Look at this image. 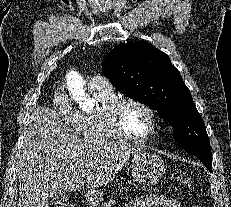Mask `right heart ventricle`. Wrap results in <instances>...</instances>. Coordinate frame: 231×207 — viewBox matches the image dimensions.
<instances>
[{"label":"right heart ventricle","mask_w":231,"mask_h":207,"mask_svg":"<svg viewBox=\"0 0 231 207\" xmlns=\"http://www.w3.org/2000/svg\"><path fill=\"white\" fill-rule=\"evenodd\" d=\"M96 106L92 111L78 112L76 129L81 137L97 142L119 141L107 122V111L117 99L112 88L109 90L90 88Z\"/></svg>","instance_id":"e07e8e85"}]
</instances>
